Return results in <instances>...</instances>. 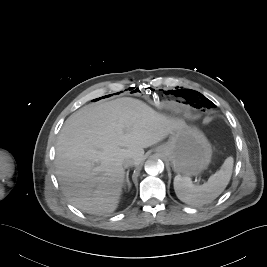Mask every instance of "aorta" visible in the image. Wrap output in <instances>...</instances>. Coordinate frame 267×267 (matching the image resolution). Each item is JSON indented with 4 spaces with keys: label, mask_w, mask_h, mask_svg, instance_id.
Instances as JSON below:
<instances>
[{
    "label": "aorta",
    "mask_w": 267,
    "mask_h": 267,
    "mask_svg": "<svg viewBox=\"0 0 267 267\" xmlns=\"http://www.w3.org/2000/svg\"><path fill=\"white\" fill-rule=\"evenodd\" d=\"M144 167L147 174L156 176L163 172L164 163L157 156H152L145 162Z\"/></svg>",
    "instance_id": "aorta-1"
}]
</instances>
